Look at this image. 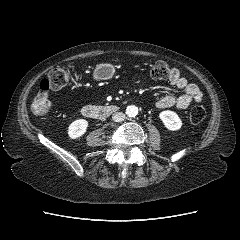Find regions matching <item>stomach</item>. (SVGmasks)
Returning a JSON list of instances; mask_svg holds the SVG:
<instances>
[{
  "label": "stomach",
  "instance_id": "1",
  "mask_svg": "<svg viewBox=\"0 0 240 240\" xmlns=\"http://www.w3.org/2000/svg\"><path fill=\"white\" fill-rule=\"evenodd\" d=\"M114 74V67L111 64H100L94 71V77L97 79H110Z\"/></svg>",
  "mask_w": 240,
  "mask_h": 240
}]
</instances>
